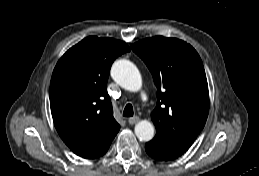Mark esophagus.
I'll use <instances>...</instances> for the list:
<instances>
[{"mask_svg":"<svg viewBox=\"0 0 259 176\" xmlns=\"http://www.w3.org/2000/svg\"><path fill=\"white\" fill-rule=\"evenodd\" d=\"M140 118L138 116H134V117H131L128 119V123L130 125H134L136 124L137 122H139Z\"/></svg>","mask_w":259,"mask_h":176,"instance_id":"34e87169","label":"esophagus"}]
</instances>
